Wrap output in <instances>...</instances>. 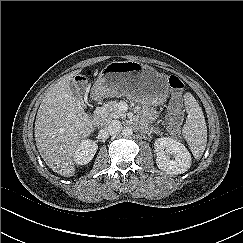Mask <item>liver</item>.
I'll use <instances>...</instances> for the list:
<instances>
[{"mask_svg":"<svg viewBox=\"0 0 243 243\" xmlns=\"http://www.w3.org/2000/svg\"><path fill=\"white\" fill-rule=\"evenodd\" d=\"M63 76L45 94L35 120V140L45 163L64 177L75 173L74 156L82 140L93 131L83 103L70 87L73 76Z\"/></svg>","mask_w":243,"mask_h":243,"instance_id":"liver-1","label":"liver"}]
</instances>
